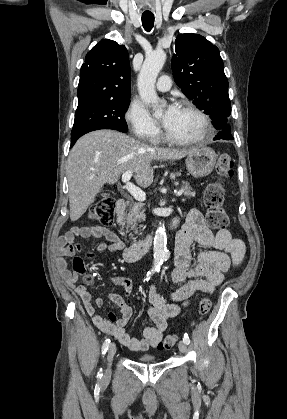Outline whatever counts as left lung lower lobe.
<instances>
[{
    "mask_svg": "<svg viewBox=\"0 0 287 419\" xmlns=\"http://www.w3.org/2000/svg\"><path fill=\"white\" fill-rule=\"evenodd\" d=\"M230 124H226L223 128L220 129V132L214 137V140H233V136L230 134Z\"/></svg>",
    "mask_w": 287,
    "mask_h": 419,
    "instance_id": "left-lung-lower-lobe-1",
    "label": "left lung lower lobe"
}]
</instances>
